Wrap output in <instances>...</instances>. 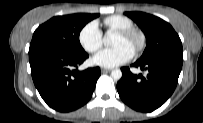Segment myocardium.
<instances>
[{
    "label": "myocardium",
    "mask_w": 203,
    "mask_h": 123,
    "mask_svg": "<svg viewBox=\"0 0 203 123\" xmlns=\"http://www.w3.org/2000/svg\"><path fill=\"white\" fill-rule=\"evenodd\" d=\"M116 34L120 35V36H123L125 38H135L136 39V46H135V49L133 51V54L136 55V54H139L144 46H145V38H144V35L134 29V28H130V29H123V30H118L116 31Z\"/></svg>",
    "instance_id": "f54148a6"
}]
</instances>
